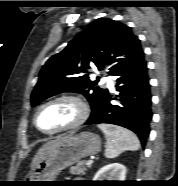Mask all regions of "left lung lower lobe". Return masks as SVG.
Listing matches in <instances>:
<instances>
[{
	"instance_id": "left-lung-lower-lobe-1",
	"label": "left lung lower lobe",
	"mask_w": 178,
	"mask_h": 186,
	"mask_svg": "<svg viewBox=\"0 0 178 186\" xmlns=\"http://www.w3.org/2000/svg\"><path fill=\"white\" fill-rule=\"evenodd\" d=\"M116 81L121 105H112L110 103L112 98L107 91L85 124L109 123L125 127L137 134L142 145H145L150 133L152 111L149 77L144 57L133 66L122 70L116 76Z\"/></svg>"
}]
</instances>
